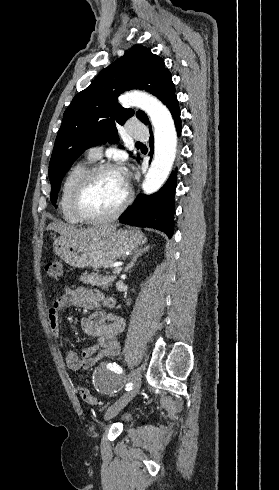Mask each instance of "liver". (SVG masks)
I'll use <instances>...</instances> for the list:
<instances>
[{
  "mask_svg": "<svg viewBox=\"0 0 279 490\" xmlns=\"http://www.w3.org/2000/svg\"><path fill=\"white\" fill-rule=\"evenodd\" d=\"M116 226H98V228H75V226H68V224H62V222H53V224H49L47 226V230H54V232H58L61 234L62 238H69V240H90V238H94L97 234H106V232H111V230H115Z\"/></svg>",
  "mask_w": 279,
  "mask_h": 490,
  "instance_id": "obj_1",
  "label": "liver"
}]
</instances>
